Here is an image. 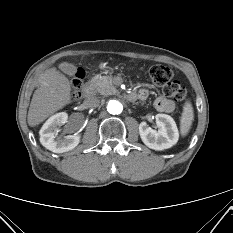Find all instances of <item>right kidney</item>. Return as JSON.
Masks as SVG:
<instances>
[{
    "mask_svg": "<svg viewBox=\"0 0 233 233\" xmlns=\"http://www.w3.org/2000/svg\"><path fill=\"white\" fill-rule=\"evenodd\" d=\"M68 115L65 112L51 116L40 130V142L48 150L54 153H63L74 149L80 142V135H68L56 138L59 127L67 122Z\"/></svg>",
    "mask_w": 233,
    "mask_h": 233,
    "instance_id": "obj_1",
    "label": "right kidney"
}]
</instances>
